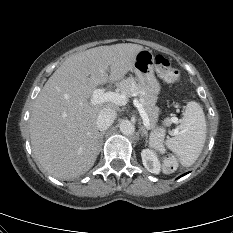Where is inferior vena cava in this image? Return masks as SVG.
<instances>
[{
    "label": "inferior vena cava",
    "instance_id": "inferior-vena-cava-1",
    "mask_svg": "<svg viewBox=\"0 0 233 233\" xmlns=\"http://www.w3.org/2000/svg\"><path fill=\"white\" fill-rule=\"evenodd\" d=\"M117 114L111 108H104L98 114L96 125L98 130L105 131L107 130L114 122Z\"/></svg>",
    "mask_w": 233,
    "mask_h": 233
}]
</instances>
